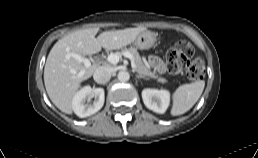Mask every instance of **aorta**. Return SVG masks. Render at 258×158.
<instances>
[{"instance_id":"obj_1","label":"aorta","mask_w":258,"mask_h":158,"mask_svg":"<svg viewBox=\"0 0 258 158\" xmlns=\"http://www.w3.org/2000/svg\"><path fill=\"white\" fill-rule=\"evenodd\" d=\"M117 77H118V80L121 82H126L130 79L129 73L124 70L119 71Z\"/></svg>"}]
</instances>
